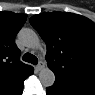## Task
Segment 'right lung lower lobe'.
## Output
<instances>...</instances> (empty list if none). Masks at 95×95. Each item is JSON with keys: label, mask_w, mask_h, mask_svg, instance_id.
Instances as JSON below:
<instances>
[{"label": "right lung lower lobe", "mask_w": 95, "mask_h": 95, "mask_svg": "<svg viewBox=\"0 0 95 95\" xmlns=\"http://www.w3.org/2000/svg\"><path fill=\"white\" fill-rule=\"evenodd\" d=\"M23 91V88L20 90V92L17 95H21Z\"/></svg>", "instance_id": "obj_1"}]
</instances>
